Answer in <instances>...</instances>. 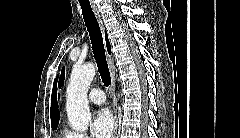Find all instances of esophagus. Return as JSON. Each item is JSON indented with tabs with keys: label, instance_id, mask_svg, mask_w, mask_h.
Masks as SVG:
<instances>
[{
	"label": "esophagus",
	"instance_id": "1",
	"mask_svg": "<svg viewBox=\"0 0 240 138\" xmlns=\"http://www.w3.org/2000/svg\"><path fill=\"white\" fill-rule=\"evenodd\" d=\"M93 10L97 17V20L101 27V30L104 32V25H103L101 14L95 5H93ZM107 62H108L109 70H110V76H111L110 90H111V96L113 99V109H114V131H113L112 137L115 138L117 135V130H118L117 99H116V94H115L116 77H115L114 60H113V57L110 56L109 54H107Z\"/></svg>",
	"mask_w": 240,
	"mask_h": 138
}]
</instances>
